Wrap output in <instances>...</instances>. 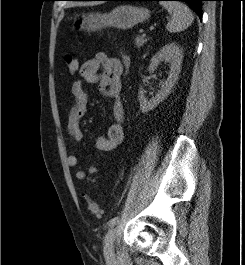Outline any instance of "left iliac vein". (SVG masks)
<instances>
[{
  "instance_id": "4c4485c4",
  "label": "left iliac vein",
  "mask_w": 245,
  "mask_h": 265,
  "mask_svg": "<svg viewBox=\"0 0 245 265\" xmlns=\"http://www.w3.org/2000/svg\"><path fill=\"white\" fill-rule=\"evenodd\" d=\"M116 238V228H111L104 239V256L112 258L114 256V241Z\"/></svg>"
}]
</instances>
